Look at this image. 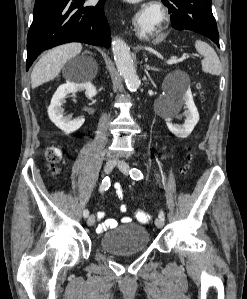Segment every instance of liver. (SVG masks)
Masks as SVG:
<instances>
[{
	"label": "liver",
	"instance_id": "1",
	"mask_svg": "<svg viewBox=\"0 0 247 299\" xmlns=\"http://www.w3.org/2000/svg\"><path fill=\"white\" fill-rule=\"evenodd\" d=\"M81 50L80 43H67L49 50L33 68L31 73L32 89L57 77L65 63L79 54Z\"/></svg>",
	"mask_w": 247,
	"mask_h": 299
}]
</instances>
